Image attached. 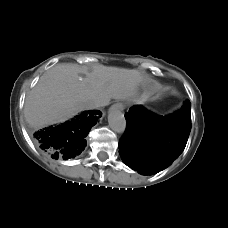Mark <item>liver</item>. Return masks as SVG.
Returning <instances> with one entry per match:
<instances>
[{"label":"liver","mask_w":228,"mask_h":228,"mask_svg":"<svg viewBox=\"0 0 228 228\" xmlns=\"http://www.w3.org/2000/svg\"><path fill=\"white\" fill-rule=\"evenodd\" d=\"M147 81L148 77L136 69L98 65L88 71L77 64H58L44 73L29 93L24 115L30 126L42 128L88 109L89 100L99 101L102 106L111 99L143 103L147 93L140 98L137 94Z\"/></svg>","instance_id":"liver-1"}]
</instances>
